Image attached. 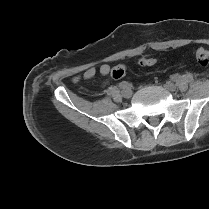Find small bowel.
Segmentation results:
<instances>
[{
	"instance_id": "1",
	"label": "small bowel",
	"mask_w": 209,
	"mask_h": 209,
	"mask_svg": "<svg viewBox=\"0 0 209 209\" xmlns=\"http://www.w3.org/2000/svg\"><path fill=\"white\" fill-rule=\"evenodd\" d=\"M110 72V66L108 64H104L100 67V73L102 75H107ZM96 70L95 68H89L85 74H84V78L85 79H91L95 76Z\"/></svg>"
}]
</instances>
